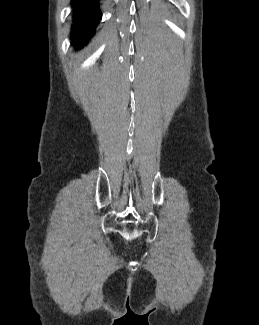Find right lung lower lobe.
<instances>
[{
    "mask_svg": "<svg viewBox=\"0 0 259 325\" xmlns=\"http://www.w3.org/2000/svg\"><path fill=\"white\" fill-rule=\"evenodd\" d=\"M72 11V44L81 49L95 35L96 27L101 20L100 0H71Z\"/></svg>",
    "mask_w": 259,
    "mask_h": 325,
    "instance_id": "98d812e1",
    "label": "right lung lower lobe"
}]
</instances>
